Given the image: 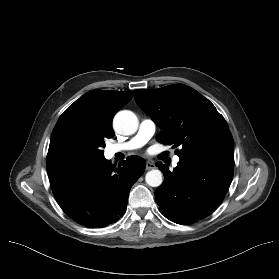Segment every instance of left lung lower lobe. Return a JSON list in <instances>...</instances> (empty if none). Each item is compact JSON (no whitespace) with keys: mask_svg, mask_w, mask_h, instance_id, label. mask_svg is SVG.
<instances>
[{"mask_svg":"<svg viewBox=\"0 0 279 279\" xmlns=\"http://www.w3.org/2000/svg\"><path fill=\"white\" fill-rule=\"evenodd\" d=\"M173 172L161 162L165 176L155 198L162 214L178 224H191L213 213L226 195L234 173V158L213 155L179 156Z\"/></svg>","mask_w":279,"mask_h":279,"instance_id":"left-lung-lower-lobe-1","label":"left lung lower lobe"}]
</instances>
